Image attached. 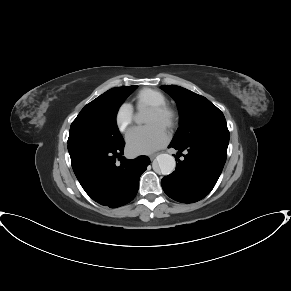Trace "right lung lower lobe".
Returning <instances> with one entry per match:
<instances>
[{"mask_svg":"<svg viewBox=\"0 0 291 291\" xmlns=\"http://www.w3.org/2000/svg\"><path fill=\"white\" fill-rule=\"evenodd\" d=\"M124 145H68L72 168L85 192L94 201L110 208L123 206L134 199L140 176L150 164L147 156L134 160L122 157Z\"/></svg>","mask_w":291,"mask_h":291,"instance_id":"1","label":"right lung lower lobe"}]
</instances>
